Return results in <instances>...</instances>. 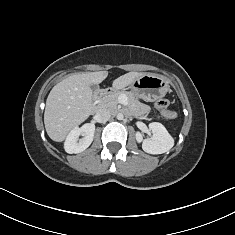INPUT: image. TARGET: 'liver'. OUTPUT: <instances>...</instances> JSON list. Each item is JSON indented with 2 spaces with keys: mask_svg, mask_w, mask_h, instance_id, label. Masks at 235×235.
<instances>
[{
  "mask_svg": "<svg viewBox=\"0 0 235 235\" xmlns=\"http://www.w3.org/2000/svg\"><path fill=\"white\" fill-rule=\"evenodd\" d=\"M143 75L139 72L126 73L115 79L112 87L124 89ZM107 76V71L76 73L52 88L46 100L44 124L53 141H64L71 130L91 115L93 94L90 86L101 83Z\"/></svg>",
  "mask_w": 235,
  "mask_h": 235,
  "instance_id": "liver-1",
  "label": "liver"
}]
</instances>
